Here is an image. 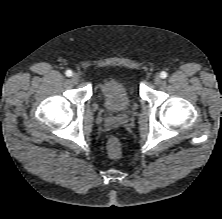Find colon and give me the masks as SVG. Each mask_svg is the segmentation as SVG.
<instances>
[{
    "instance_id": "colon-1",
    "label": "colon",
    "mask_w": 222,
    "mask_h": 219,
    "mask_svg": "<svg viewBox=\"0 0 222 219\" xmlns=\"http://www.w3.org/2000/svg\"><path fill=\"white\" fill-rule=\"evenodd\" d=\"M107 153L109 157L117 159L122 154V144L116 137H111L107 142Z\"/></svg>"
}]
</instances>
